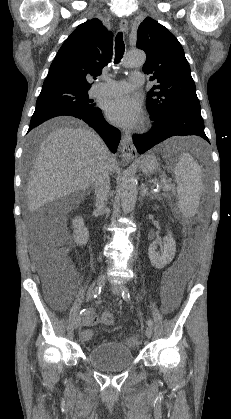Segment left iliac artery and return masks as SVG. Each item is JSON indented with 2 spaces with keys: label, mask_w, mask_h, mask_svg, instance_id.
I'll use <instances>...</instances> for the list:
<instances>
[{
  "label": "left iliac artery",
  "mask_w": 231,
  "mask_h": 419,
  "mask_svg": "<svg viewBox=\"0 0 231 419\" xmlns=\"http://www.w3.org/2000/svg\"><path fill=\"white\" fill-rule=\"evenodd\" d=\"M122 297L126 301L130 300V291H129V288L128 287H124L123 288V290H122ZM147 325L150 328H153V321L151 319H148Z\"/></svg>",
  "instance_id": "1"
}]
</instances>
